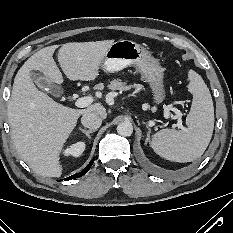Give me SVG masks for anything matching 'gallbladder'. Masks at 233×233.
I'll list each match as a JSON object with an SVG mask.
<instances>
[{"label":"gallbladder","mask_w":233,"mask_h":233,"mask_svg":"<svg viewBox=\"0 0 233 233\" xmlns=\"http://www.w3.org/2000/svg\"><path fill=\"white\" fill-rule=\"evenodd\" d=\"M30 76L35 84L44 90H49L55 96H61L63 90L61 87L54 85L47 77L36 71H31Z\"/></svg>","instance_id":"gallbladder-1"}]
</instances>
